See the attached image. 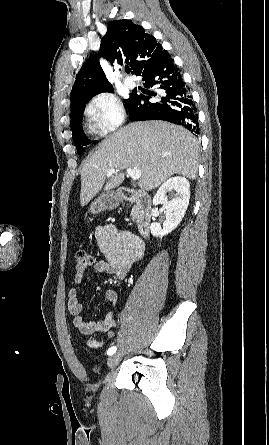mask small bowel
Here are the masks:
<instances>
[{"mask_svg": "<svg viewBox=\"0 0 269 445\" xmlns=\"http://www.w3.org/2000/svg\"><path fill=\"white\" fill-rule=\"evenodd\" d=\"M95 238L104 259L92 264L84 272H77L74 276L75 285H80L86 274L100 276L103 273L116 275L124 279L131 267L139 261L144 253L143 241L131 232L119 230L112 224L99 226L95 230ZM107 301L113 304V309L104 321L85 320L84 305L79 298V289L73 287L68 292V308L73 316V325L84 335L111 329L116 324L119 308V294L113 289L104 292ZM103 341L89 340L87 346L97 349L103 346Z\"/></svg>", "mask_w": 269, "mask_h": 445, "instance_id": "1", "label": "small bowel"}]
</instances>
